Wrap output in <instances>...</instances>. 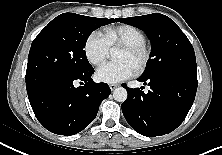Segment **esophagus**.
Here are the masks:
<instances>
[{"label": "esophagus", "instance_id": "obj_1", "mask_svg": "<svg viewBox=\"0 0 222 155\" xmlns=\"http://www.w3.org/2000/svg\"><path fill=\"white\" fill-rule=\"evenodd\" d=\"M109 87L113 91L114 89H116L118 87V85L117 84H110Z\"/></svg>", "mask_w": 222, "mask_h": 155}]
</instances>
